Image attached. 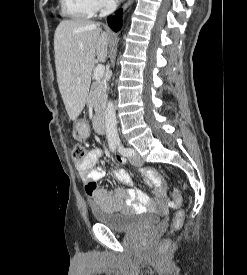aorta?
Segmentation results:
<instances>
[{
	"label": "aorta",
	"mask_w": 247,
	"mask_h": 275,
	"mask_svg": "<svg viewBox=\"0 0 247 275\" xmlns=\"http://www.w3.org/2000/svg\"><path fill=\"white\" fill-rule=\"evenodd\" d=\"M106 137L108 140H118L117 120L114 103L109 101L105 110Z\"/></svg>",
	"instance_id": "aorta-1"
}]
</instances>
